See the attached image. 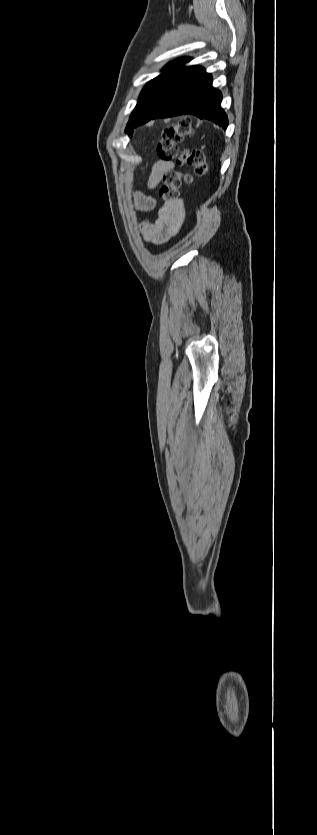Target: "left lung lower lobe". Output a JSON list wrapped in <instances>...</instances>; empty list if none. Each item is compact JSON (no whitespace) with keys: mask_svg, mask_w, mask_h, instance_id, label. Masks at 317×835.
<instances>
[{"mask_svg":"<svg viewBox=\"0 0 317 835\" xmlns=\"http://www.w3.org/2000/svg\"><path fill=\"white\" fill-rule=\"evenodd\" d=\"M221 100V92L212 87L211 75L202 67L190 66L180 76L165 102L146 122L156 118L194 115L226 129L228 118L221 108Z\"/></svg>","mask_w":317,"mask_h":835,"instance_id":"obj_1","label":"left lung lower lobe"}]
</instances>
